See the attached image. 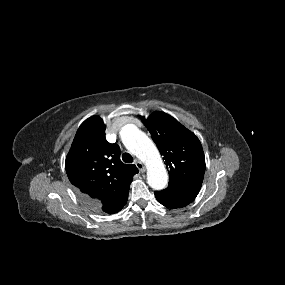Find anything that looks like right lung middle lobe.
<instances>
[{
    "instance_id": "right-lung-middle-lobe-1",
    "label": "right lung middle lobe",
    "mask_w": 285,
    "mask_h": 285,
    "mask_svg": "<svg viewBox=\"0 0 285 285\" xmlns=\"http://www.w3.org/2000/svg\"><path fill=\"white\" fill-rule=\"evenodd\" d=\"M90 208V207H89ZM91 210H93V211H95L94 209H92V208H90ZM95 212H97V211H95Z\"/></svg>"
}]
</instances>
